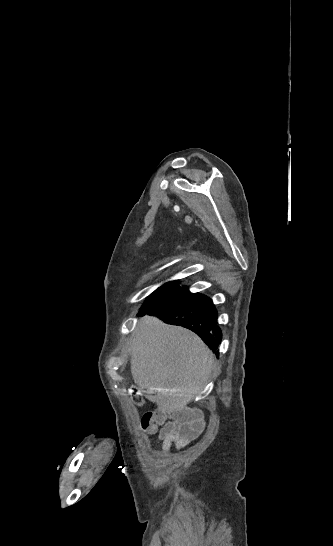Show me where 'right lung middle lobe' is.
I'll return each instance as SVG.
<instances>
[{
	"label": "right lung middle lobe",
	"instance_id": "right-lung-middle-lobe-1",
	"mask_svg": "<svg viewBox=\"0 0 333 546\" xmlns=\"http://www.w3.org/2000/svg\"><path fill=\"white\" fill-rule=\"evenodd\" d=\"M178 281H171L165 283L163 286L155 290L150 297L143 304L141 311L151 310L154 307L173 301L183 296H188L191 292L186 287H179L176 283Z\"/></svg>",
	"mask_w": 333,
	"mask_h": 546
}]
</instances>
